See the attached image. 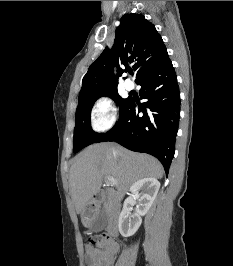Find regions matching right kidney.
Returning a JSON list of instances; mask_svg holds the SVG:
<instances>
[{
  "label": "right kidney",
  "instance_id": "ca27d5eb",
  "mask_svg": "<svg viewBox=\"0 0 233 266\" xmlns=\"http://www.w3.org/2000/svg\"><path fill=\"white\" fill-rule=\"evenodd\" d=\"M159 188L160 182L152 177L140 179L130 187L131 195L124 202L118 219V228L122 236L129 237L136 233L142 223L141 217L150 209ZM136 200V212L131 214V205Z\"/></svg>",
  "mask_w": 233,
  "mask_h": 266
}]
</instances>
